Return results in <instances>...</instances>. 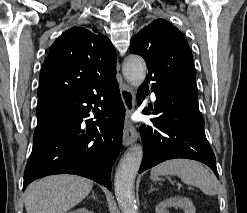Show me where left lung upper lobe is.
I'll return each mask as SVG.
<instances>
[{
	"mask_svg": "<svg viewBox=\"0 0 247 213\" xmlns=\"http://www.w3.org/2000/svg\"><path fill=\"white\" fill-rule=\"evenodd\" d=\"M130 52L147 64L146 80L160 87L187 89L198 96L192 52L182 33L163 19L147 22L131 39Z\"/></svg>",
	"mask_w": 247,
	"mask_h": 213,
	"instance_id": "5c2ea615",
	"label": "left lung upper lobe"
}]
</instances>
